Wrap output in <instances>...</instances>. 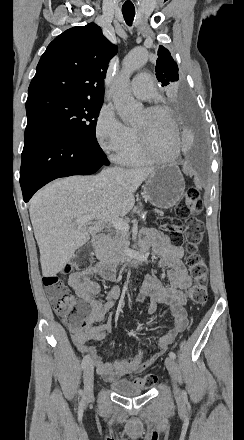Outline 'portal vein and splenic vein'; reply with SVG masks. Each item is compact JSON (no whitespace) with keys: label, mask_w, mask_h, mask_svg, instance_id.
<instances>
[{"label":"portal vein and splenic vein","mask_w":244,"mask_h":440,"mask_svg":"<svg viewBox=\"0 0 244 440\" xmlns=\"http://www.w3.org/2000/svg\"><path fill=\"white\" fill-rule=\"evenodd\" d=\"M90 220H93V216H78L75 220V224H77V226H83V224L90 222ZM107 222L112 224L115 230H125V232L130 230L129 224H127L126 220H123V218H108Z\"/></svg>","instance_id":"1"}]
</instances>
